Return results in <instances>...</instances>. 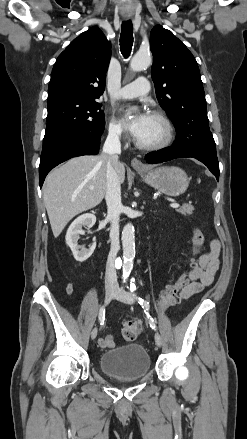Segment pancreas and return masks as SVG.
<instances>
[{"instance_id": "pancreas-1", "label": "pancreas", "mask_w": 247, "mask_h": 439, "mask_svg": "<svg viewBox=\"0 0 247 439\" xmlns=\"http://www.w3.org/2000/svg\"><path fill=\"white\" fill-rule=\"evenodd\" d=\"M194 207L190 204H184L180 209L177 211L180 212L183 215H191L193 213Z\"/></svg>"}]
</instances>
